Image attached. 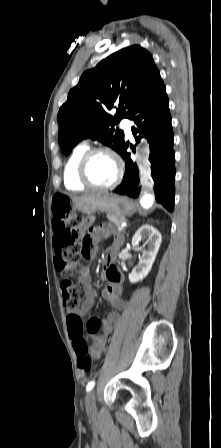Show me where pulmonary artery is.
Returning <instances> with one entry per match:
<instances>
[{"instance_id":"1","label":"pulmonary artery","mask_w":221,"mask_h":448,"mask_svg":"<svg viewBox=\"0 0 221 448\" xmlns=\"http://www.w3.org/2000/svg\"><path fill=\"white\" fill-rule=\"evenodd\" d=\"M122 127L124 128V131L126 133V135L128 137H132V132H131V123L128 119L124 118L121 122Z\"/></svg>"}]
</instances>
